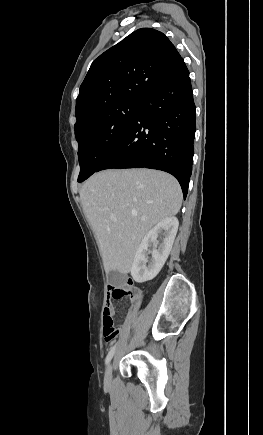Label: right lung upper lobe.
Listing matches in <instances>:
<instances>
[{
    "label": "right lung upper lobe",
    "instance_id": "cb5924a9",
    "mask_svg": "<svg viewBox=\"0 0 263 435\" xmlns=\"http://www.w3.org/2000/svg\"><path fill=\"white\" fill-rule=\"evenodd\" d=\"M183 65V58L162 32L136 30L91 64L76 100L75 127L109 103L144 100Z\"/></svg>",
    "mask_w": 263,
    "mask_h": 435
}]
</instances>
